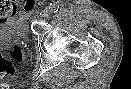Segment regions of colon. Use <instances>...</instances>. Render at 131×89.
Segmentation results:
<instances>
[{"label":"colon","instance_id":"obj_1","mask_svg":"<svg viewBox=\"0 0 131 89\" xmlns=\"http://www.w3.org/2000/svg\"><path fill=\"white\" fill-rule=\"evenodd\" d=\"M22 58L23 51L19 46H15L8 51H0V79L15 77Z\"/></svg>","mask_w":131,"mask_h":89}]
</instances>
